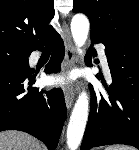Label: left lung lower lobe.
Listing matches in <instances>:
<instances>
[{"label": "left lung lower lobe", "instance_id": "1", "mask_svg": "<svg viewBox=\"0 0 139 150\" xmlns=\"http://www.w3.org/2000/svg\"><path fill=\"white\" fill-rule=\"evenodd\" d=\"M90 37L92 44L101 42ZM105 54L113 82L110 89L106 87L109 96L91 89V109L81 150L112 144L139 149V34L106 47ZM92 55H96L93 45L88 49L89 66Z\"/></svg>", "mask_w": 139, "mask_h": 150}]
</instances>
